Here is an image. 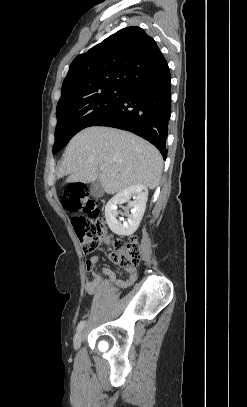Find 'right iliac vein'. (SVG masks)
<instances>
[{
	"mask_svg": "<svg viewBox=\"0 0 247 407\" xmlns=\"http://www.w3.org/2000/svg\"><path fill=\"white\" fill-rule=\"evenodd\" d=\"M82 341V332H78L75 336H74V340H73V346L75 349H78L80 344Z\"/></svg>",
	"mask_w": 247,
	"mask_h": 407,
	"instance_id": "63e3f726",
	"label": "right iliac vein"
}]
</instances>
